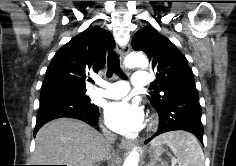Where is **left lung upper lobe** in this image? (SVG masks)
<instances>
[{
    "label": "left lung upper lobe",
    "instance_id": "obj_1",
    "mask_svg": "<svg viewBox=\"0 0 236 166\" xmlns=\"http://www.w3.org/2000/svg\"><path fill=\"white\" fill-rule=\"evenodd\" d=\"M132 46L134 50H142L148 55L156 71V80L150 86L154 91L147 97L157 111L179 98L198 95L185 56L155 28L147 26L140 29L133 37Z\"/></svg>",
    "mask_w": 236,
    "mask_h": 166
}]
</instances>
